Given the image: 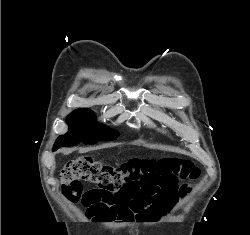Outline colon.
I'll return each instance as SVG.
<instances>
[{"instance_id":"1","label":"colon","mask_w":250,"mask_h":235,"mask_svg":"<svg viewBox=\"0 0 250 235\" xmlns=\"http://www.w3.org/2000/svg\"><path fill=\"white\" fill-rule=\"evenodd\" d=\"M199 175V169L185 159H134L112 166L86 155L69 160L59 177L62 194L71 202L81 200L89 217L130 222L144 220L130 208L139 191L176 186L179 181L196 180ZM81 181L95 183L98 188L82 194ZM185 190L184 185L179 192Z\"/></svg>"}]
</instances>
